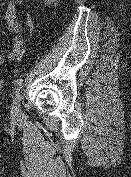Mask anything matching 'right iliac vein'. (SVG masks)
<instances>
[{"instance_id":"right-iliac-vein-1","label":"right iliac vein","mask_w":131,"mask_h":177,"mask_svg":"<svg viewBox=\"0 0 131 177\" xmlns=\"http://www.w3.org/2000/svg\"><path fill=\"white\" fill-rule=\"evenodd\" d=\"M11 112H12L13 117H17L19 115V112H20V96L19 95H17L13 100Z\"/></svg>"}]
</instances>
